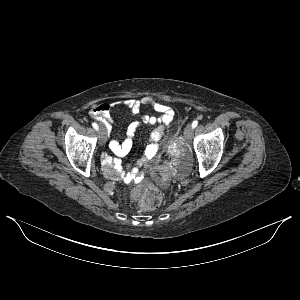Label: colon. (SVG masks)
I'll return each instance as SVG.
<instances>
[{
    "instance_id": "1",
    "label": "colon",
    "mask_w": 300,
    "mask_h": 300,
    "mask_svg": "<svg viewBox=\"0 0 300 300\" xmlns=\"http://www.w3.org/2000/svg\"><path fill=\"white\" fill-rule=\"evenodd\" d=\"M155 187V181H150L149 185H139L132 190L131 197L142 209L154 210L162 203V195Z\"/></svg>"
}]
</instances>
